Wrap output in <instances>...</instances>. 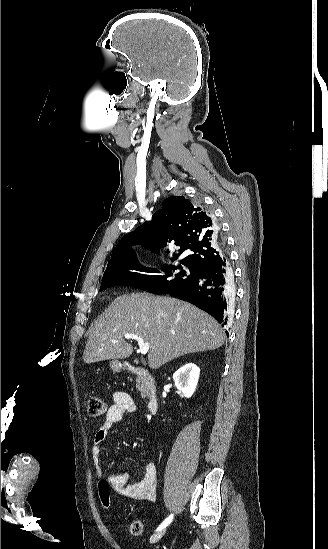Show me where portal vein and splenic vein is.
<instances>
[{
	"label": "portal vein and splenic vein",
	"instance_id": "obj_1",
	"mask_svg": "<svg viewBox=\"0 0 328 549\" xmlns=\"http://www.w3.org/2000/svg\"><path fill=\"white\" fill-rule=\"evenodd\" d=\"M124 339H134V341H137L141 355H146L149 351V343H145L144 339L142 337H138V335H134V333H128V335H124ZM112 343H117V341H112Z\"/></svg>",
	"mask_w": 328,
	"mask_h": 549
}]
</instances>
